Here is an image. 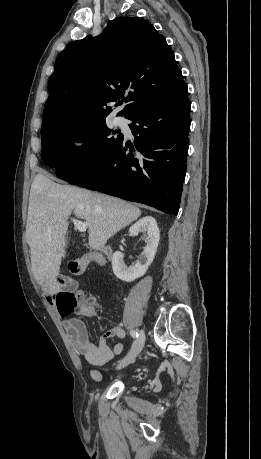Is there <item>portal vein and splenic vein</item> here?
I'll use <instances>...</instances> for the list:
<instances>
[{"instance_id": "18ae733b", "label": "portal vein and splenic vein", "mask_w": 261, "mask_h": 459, "mask_svg": "<svg viewBox=\"0 0 261 459\" xmlns=\"http://www.w3.org/2000/svg\"><path fill=\"white\" fill-rule=\"evenodd\" d=\"M72 222L78 231L85 232L87 230L88 225L86 222H82L74 218L72 219Z\"/></svg>"}]
</instances>
